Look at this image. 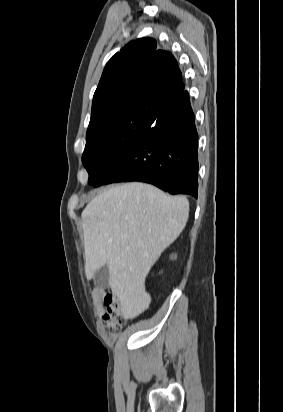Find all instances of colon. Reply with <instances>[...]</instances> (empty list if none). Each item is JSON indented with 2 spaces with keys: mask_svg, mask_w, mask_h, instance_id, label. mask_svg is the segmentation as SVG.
I'll use <instances>...</instances> for the list:
<instances>
[{
  "mask_svg": "<svg viewBox=\"0 0 283 412\" xmlns=\"http://www.w3.org/2000/svg\"><path fill=\"white\" fill-rule=\"evenodd\" d=\"M104 303L106 311L103 314L105 326L113 333L118 332L127 321V315L119 297L115 294H108Z\"/></svg>",
  "mask_w": 283,
  "mask_h": 412,
  "instance_id": "1",
  "label": "colon"
}]
</instances>
